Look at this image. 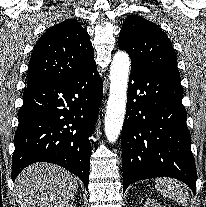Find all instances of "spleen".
Masks as SVG:
<instances>
[{
  "instance_id": "spleen-1",
  "label": "spleen",
  "mask_w": 206,
  "mask_h": 207,
  "mask_svg": "<svg viewBox=\"0 0 206 207\" xmlns=\"http://www.w3.org/2000/svg\"><path fill=\"white\" fill-rule=\"evenodd\" d=\"M156 189L163 195L187 205L189 194L187 189L179 182L172 179H158L155 182Z\"/></svg>"
}]
</instances>
